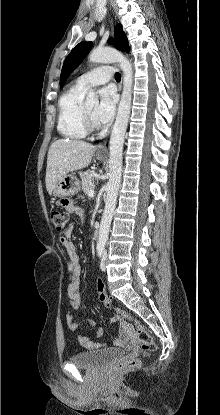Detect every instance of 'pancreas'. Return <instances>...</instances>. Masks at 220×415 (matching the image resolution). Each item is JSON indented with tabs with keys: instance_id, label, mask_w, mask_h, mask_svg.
I'll return each instance as SVG.
<instances>
[{
	"instance_id": "1",
	"label": "pancreas",
	"mask_w": 220,
	"mask_h": 415,
	"mask_svg": "<svg viewBox=\"0 0 220 415\" xmlns=\"http://www.w3.org/2000/svg\"><path fill=\"white\" fill-rule=\"evenodd\" d=\"M79 174L82 179V190L87 195L95 187L94 174L91 171L80 172Z\"/></svg>"
}]
</instances>
